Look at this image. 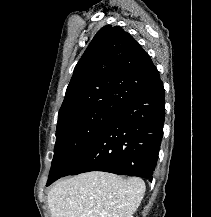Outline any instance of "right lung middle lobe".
I'll list each match as a JSON object with an SVG mask.
<instances>
[{"label":"right lung middle lobe","mask_w":211,"mask_h":217,"mask_svg":"<svg viewBox=\"0 0 211 217\" xmlns=\"http://www.w3.org/2000/svg\"><path fill=\"white\" fill-rule=\"evenodd\" d=\"M116 114L92 112L58 124L48 180L60 178L93 145Z\"/></svg>","instance_id":"1"}]
</instances>
